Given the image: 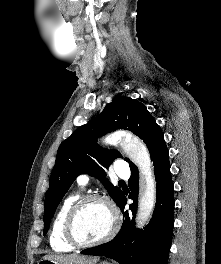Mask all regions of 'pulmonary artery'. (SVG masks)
I'll return each instance as SVG.
<instances>
[{
  "label": "pulmonary artery",
  "mask_w": 221,
  "mask_h": 264,
  "mask_svg": "<svg viewBox=\"0 0 221 264\" xmlns=\"http://www.w3.org/2000/svg\"><path fill=\"white\" fill-rule=\"evenodd\" d=\"M115 172L120 178H128L130 175V170L127 164L122 161L118 160L115 165ZM90 177L88 174H81L77 177V183L81 187H85L88 185Z\"/></svg>",
  "instance_id": "e3ab8cb5"
}]
</instances>
